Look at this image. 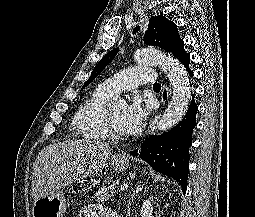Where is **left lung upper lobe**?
Wrapping results in <instances>:
<instances>
[{"label":"left lung upper lobe","instance_id":"left-lung-upper-lobe-1","mask_svg":"<svg viewBox=\"0 0 255 217\" xmlns=\"http://www.w3.org/2000/svg\"><path fill=\"white\" fill-rule=\"evenodd\" d=\"M136 27L133 33L138 31ZM146 45L158 46L167 52H176L183 47V40L180 39L176 24L169 21L163 15L151 17L149 19V28L144 35ZM119 48L108 52L93 69L90 78L85 82L81 90L88 86L101 71L114 59Z\"/></svg>","mask_w":255,"mask_h":217}]
</instances>
